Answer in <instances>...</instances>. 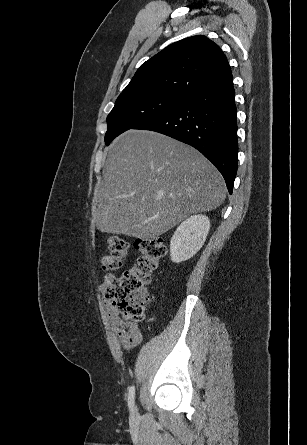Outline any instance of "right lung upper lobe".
Wrapping results in <instances>:
<instances>
[{
	"instance_id": "cb5924a9",
	"label": "right lung upper lobe",
	"mask_w": 307,
	"mask_h": 445,
	"mask_svg": "<svg viewBox=\"0 0 307 445\" xmlns=\"http://www.w3.org/2000/svg\"><path fill=\"white\" fill-rule=\"evenodd\" d=\"M231 75L218 45L197 35L175 42L143 63L120 95L188 97Z\"/></svg>"
}]
</instances>
